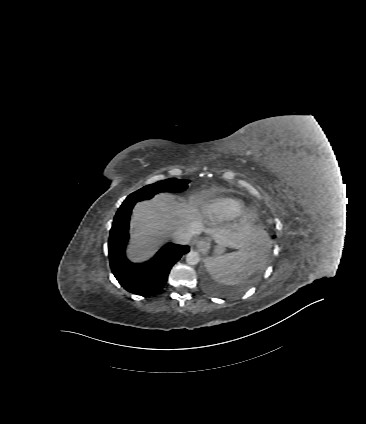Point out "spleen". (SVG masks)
Masks as SVG:
<instances>
[{"label":"spleen","instance_id":"3e777b00","mask_svg":"<svg viewBox=\"0 0 366 424\" xmlns=\"http://www.w3.org/2000/svg\"><path fill=\"white\" fill-rule=\"evenodd\" d=\"M264 257L259 244L237 252L206 259V268L213 278L223 284H239L254 273L257 263Z\"/></svg>","mask_w":366,"mask_h":424}]
</instances>
